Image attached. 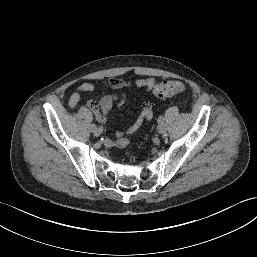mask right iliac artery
<instances>
[{"mask_svg": "<svg viewBox=\"0 0 257 257\" xmlns=\"http://www.w3.org/2000/svg\"><path fill=\"white\" fill-rule=\"evenodd\" d=\"M96 128H97V127H96V125H95V124H92V125H91V129H92V131H93V130H95Z\"/></svg>", "mask_w": 257, "mask_h": 257, "instance_id": "82829eb1", "label": "right iliac artery"}]
</instances>
